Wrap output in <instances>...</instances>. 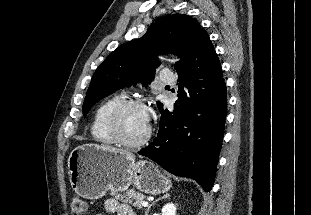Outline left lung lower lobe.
<instances>
[{"mask_svg":"<svg viewBox=\"0 0 311 215\" xmlns=\"http://www.w3.org/2000/svg\"><path fill=\"white\" fill-rule=\"evenodd\" d=\"M176 70L180 83L174 110L162 104L157 137L138 153L176 176L196 180L209 192L224 136L227 90L208 35Z\"/></svg>","mask_w":311,"mask_h":215,"instance_id":"1","label":"left lung lower lobe"}]
</instances>
